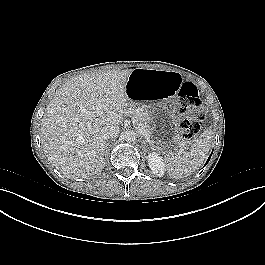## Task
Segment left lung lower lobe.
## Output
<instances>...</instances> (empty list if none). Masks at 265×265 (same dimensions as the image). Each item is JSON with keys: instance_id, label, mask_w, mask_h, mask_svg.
<instances>
[{"instance_id": "obj_1", "label": "left lung lower lobe", "mask_w": 265, "mask_h": 265, "mask_svg": "<svg viewBox=\"0 0 265 265\" xmlns=\"http://www.w3.org/2000/svg\"><path fill=\"white\" fill-rule=\"evenodd\" d=\"M211 155H212V153H211ZM211 155L209 156V158H208L206 164L209 162V160H210V158H211ZM206 164H205V165H206Z\"/></svg>"}]
</instances>
